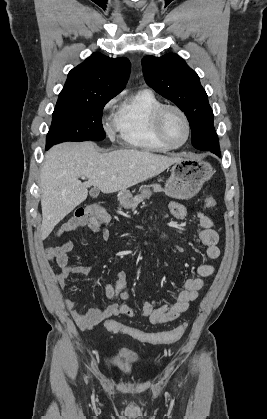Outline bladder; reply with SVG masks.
Listing matches in <instances>:
<instances>
[{
    "label": "bladder",
    "mask_w": 267,
    "mask_h": 419,
    "mask_svg": "<svg viewBox=\"0 0 267 419\" xmlns=\"http://www.w3.org/2000/svg\"><path fill=\"white\" fill-rule=\"evenodd\" d=\"M140 360V355L136 351L127 347H121L114 354L112 366L118 369L123 365H136Z\"/></svg>",
    "instance_id": "obj_1"
}]
</instances>
